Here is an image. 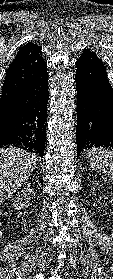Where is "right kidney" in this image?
Masks as SVG:
<instances>
[{"label": "right kidney", "instance_id": "right-kidney-1", "mask_svg": "<svg viewBox=\"0 0 113 279\" xmlns=\"http://www.w3.org/2000/svg\"><path fill=\"white\" fill-rule=\"evenodd\" d=\"M30 195V189H25L19 192L17 197H15V201L13 202V208L19 211L23 209L25 206L29 205Z\"/></svg>", "mask_w": 113, "mask_h": 279}]
</instances>
